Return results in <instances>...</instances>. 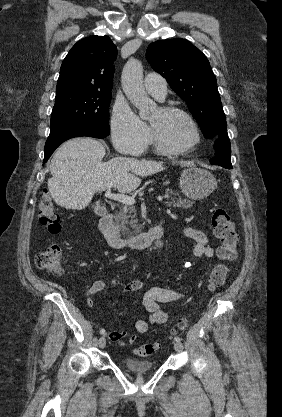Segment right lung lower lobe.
<instances>
[{"mask_svg":"<svg viewBox=\"0 0 282 417\" xmlns=\"http://www.w3.org/2000/svg\"><path fill=\"white\" fill-rule=\"evenodd\" d=\"M109 134H105L96 129H93L86 125L74 124L65 126L56 130L50 131V135L45 144V157L44 162H46L54 150L65 140L80 137L88 136L94 138H105Z\"/></svg>","mask_w":282,"mask_h":417,"instance_id":"obj_1","label":"right lung lower lobe"}]
</instances>
